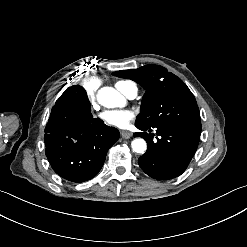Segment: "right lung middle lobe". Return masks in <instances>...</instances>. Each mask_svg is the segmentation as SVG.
<instances>
[{
  "mask_svg": "<svg viewBox=\"0 0 247 247\" xmlns=\"http://www.w3.org/2000/svg\"><path fill=\"white\" fill-rule=\"evenodd\" d=\"M63 94L69 96L73 101L85 107L86 109H89V110L91 109V104L87 97L86 91L82 86L73 85L67 88Z\"/></svg>",
  "mask_w": 247,
  "mask_h": 247,
  "instance_id": "right-lung-middle-lobe-1",
  "label": "right lung middle lobe"
}]
</instances>
